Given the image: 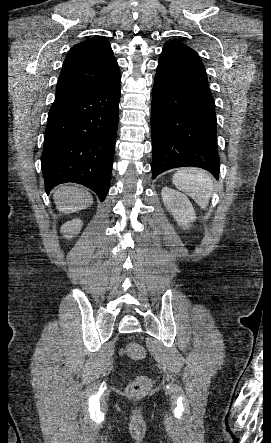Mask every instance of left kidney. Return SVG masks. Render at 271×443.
Masks as SVG:
<instances>
[{
    "label": "left kidney",
    "mask_w": 271,
    "mask_h": 443,
    "mask_svg": "<svg viewBox=\"0 0 271 443\" xmlns=\"http://www.w3.org/2000/svg\"><path fill=\"white\" fill-rule=\"evenodd\" d=\"M161 196L164 206H166L169 212H172L179 225L189 227L190 222H194L196 218L194 208L184 194L171 190V188H163Z\"/></svg>",
    "instance_id": "1"
}]
</instances>
